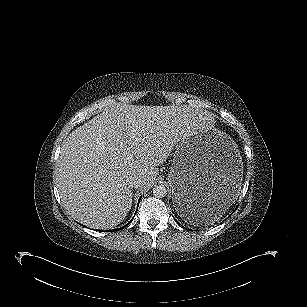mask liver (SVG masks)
Here are the masks:
<instances>
[{
	"mask_svg": "<svg viewBox=\"0 0 307 307\" xmlns=\"http://www.w3.org/2000/svg\"><path fill=\"white\" fill-rule=\"evenodd\" d=\"M212 122L207 112L177 106L117 105L103 111L61 146L56 183L63 207L90 228L117 226L132 206L129 182L139 179V189L148 190L174 145Z\"/></svg>",
	"mask_w": 307,
	"mask_h": 307,
	"instance_id": "obj_1",
	"label": "liver"
}]
</instances>
